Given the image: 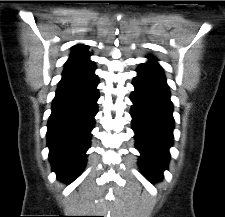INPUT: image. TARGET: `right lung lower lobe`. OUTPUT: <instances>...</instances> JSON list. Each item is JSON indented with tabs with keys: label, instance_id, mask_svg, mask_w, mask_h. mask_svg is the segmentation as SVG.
Instances as JSON below:
<instances>
[{
	"label": "right lung lower lobe",
	"instance_id": "obj_1",
	"mask_svg": "<svg viewBox=\"0 0 225 217\" xmlns=\"http://www.w3.org/2000/svg\"><path fill=\"white\" fill-rule=\"evenodd\" d=\"M96 77L59 84L48 121L47 140L53 171L62 181L72 182L86 164L91 130L97 113L99 91Z\"/></svg>",
	"mask_w": 225,
	"mask_h": 217
}]
</instances>
